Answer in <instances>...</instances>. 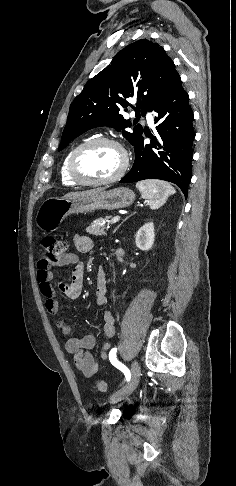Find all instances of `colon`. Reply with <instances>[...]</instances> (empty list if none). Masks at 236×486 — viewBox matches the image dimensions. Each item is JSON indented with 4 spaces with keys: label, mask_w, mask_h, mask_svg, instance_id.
Listing matches in <instances>:
<instances>
[{
    "label": "colon",
    "mask_w": 236,
    "mask_h": 486,
    "mask_svg": "<svg viewBox=\"0 0 236 486\" xmlns=\"http://www.w3.org/2000/svg\"><path fill=\"white\" fill-rule=\"evenodd\" d=\"M43 248L46 253V259L50 262H57L64 254H66L67 244L55 236H47L43 239ZM97 389L102 393L108 392V386L104 381L97 382Z\"/></svg>",
    "instance_id": "colon-1"
}]
</instances>
